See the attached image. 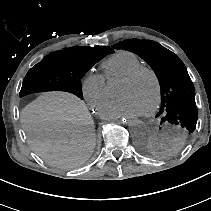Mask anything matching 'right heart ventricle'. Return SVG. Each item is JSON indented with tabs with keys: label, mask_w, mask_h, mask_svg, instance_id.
Returning a JSON list of instances; mask_svg holds the SVG:
<instances>
[{
	"label": "right heart ventricle",
	"mask_w": 211,
	"mask_h": 211,
	"mask_svg": "<svg viewBox=\"0 0 211 211\" xmlns=\"http://www.w3.org/2000/svg\"><path fill=\"white\" fill-rule=\"evenodd\" d=\"M143 62L135 53L129 51H118L106 59L101 67L106 80L122 78L135 68L142 66Z\"/></svg>",
	"instance_id": "1"
}]
</instances>
